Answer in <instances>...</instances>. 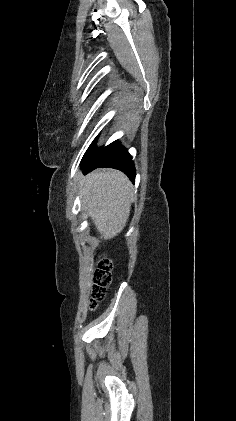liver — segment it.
<instances>
[{
  "mask_svg": "<svg viewBox=\"0 0 236 421\" xmlns=\"http://www.w3.org/2000/svg\"><path fill=\"white\" fill-rule=\"evenodd\" d=\"M79 192L83 211L92 217L101 239H113L123 231L134 196L126 174L114 168H96L82 176Z\"/></svg>",
  "mask_w": 236,
  "mask_h": 421,
  "instance_id": "obj_1",
  "label": "liver"
}]
</instances>
